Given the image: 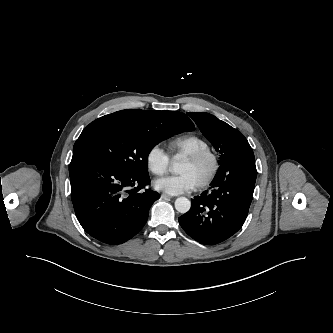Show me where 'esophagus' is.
Instances as JSON below:
<instances>
[{
	"instance_id": "obj_1",
	"label": "esophagus",
	"mask_w": 333,
	"mask_h": 333,
	"mask_svg": "<svg viewBox=\"0 0 333 333\" xmlns=\"http://www.w3.org/2000/svg\"><path fill=\"white\" fill-rule=\"evenodd\" d=\"M161 198H162V199H165V200H170L172 197H171L170 195H167V194H165V193H162V194H161Z\"/></svg>"
}]
</instances>
